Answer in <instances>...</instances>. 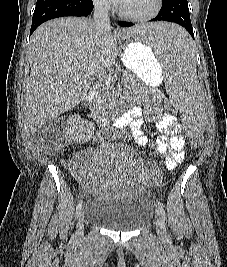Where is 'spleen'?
Instances as JSON below:
<instances>
[{
    "mask_svg": "<svg viewBox=\"0 0 227 267\" xmlns=\"http://www.w3.org/2000/svg\"><path fill=\"white\" fill-rule=\"evenodd\" d=\"M133 33H126V43H144V47H152L156 59H164L168 63L163 81L170 96L177 99L178 104L196 106H180L178 115H204L201 105L203 95L197 80L194 38H190L187 29H182L179 22L169 19H156L155 22H139L131 25ZM185 125L184 137L189 140H204L206 124L202 116H180Z\"/></svg>",
    "mask_w": 227,
    "mask_h": 267,
    "instance_id": "obj_1",
    "label": "spleen"
}]
</instances>
